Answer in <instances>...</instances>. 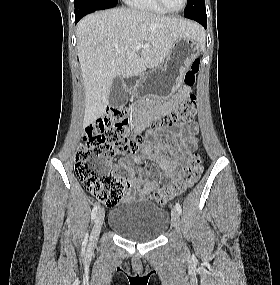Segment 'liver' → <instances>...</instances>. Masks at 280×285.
Here are the masks:
<instances>
[{
  "label": "liver",
  "mask_w": 280,
  "mask_h": 285,
  "mask_svg": "<svg viewBox=\"0 0 280 285\" xmlns=\"http://www.w3.org/2000/svg\"><path fill=\"white\" fill-rule=\"evenodd\" d=\"M192 21L136 8H114L85 16L77 25V53L82 72L83 126L102 116L116 77L130 78L162 64L182 37L200 40ZM136 43L145 47L134 50Z\"/></svg>",
  "instance_id": "obj_1"
}]
</instances>
